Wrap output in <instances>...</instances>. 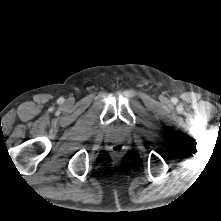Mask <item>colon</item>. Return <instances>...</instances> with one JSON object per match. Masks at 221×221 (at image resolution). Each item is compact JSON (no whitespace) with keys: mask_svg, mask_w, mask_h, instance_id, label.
Returning <instances> with one entry per match:
<instances>
[{"mask_svg":"<svg viewBox=\"0 0 221 221\" xmlns=\"http://www.w3.org/2000/svg\"><path fill=\"white\" fill-rule=\"evenodd\" d=\"M123 150V146L121 144H115L112 146V151L114 153H120Z\"/></svg>","mask_w":221,"mask_h":221,"instance_id":"1","label":"colon"}]
</instances>
